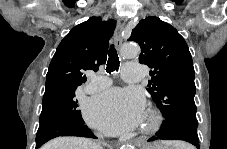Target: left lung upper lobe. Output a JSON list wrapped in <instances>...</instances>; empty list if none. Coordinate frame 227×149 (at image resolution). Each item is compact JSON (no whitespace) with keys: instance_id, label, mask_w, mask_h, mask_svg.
Returning <instances> with one entry per match:
<instances>
[{"instance_id":"1","label":"left lung upper lobe","mask_w":227,"mask_h":149,"mask_svg":"<svg viewBox=\"0 0 227 149\" xmlns=\"http://www.w3.org/2000/svg\"><path fill=\"white\" fill-rule=\"evenodd\" d=\"M128 40L139 44V62L151 68L147 90L164 118L174 115L196 118L192 57L178 31L152 16L142 19Z\"/></svg>"}]
</instances>
